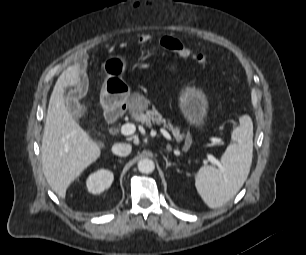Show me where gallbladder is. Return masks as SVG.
I'll return each instance as SVG.
<instances>
[{"label": "gallbladder", "instance_id": "gallbladder-1", "mask_svg": "<svg viewBox=\"0 0 306 255\" xmlns=\"http://www.w3.org/2000/svg\"><path fill=\"white\" fill-rule=\"evenodd\" d=\"M65 103L70 113H75L79 109L80 105L76 97V91L71 90L68 92V94L65 96ZM78 117V114L74 115V119L77 120Z\"/></svg>", "mask_w": 306, "mask_h": 255}]
</instances>
